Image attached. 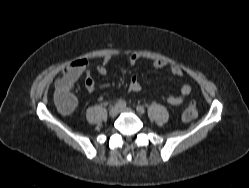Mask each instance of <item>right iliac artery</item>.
<instances>
[{"label": "right iliac artery", "mask_w": 249, "mask_h": 188, "mask_svg": "<svg viewBox=\"0 0 249 188\" xmlns=\"http://www.w3.org/2000/svg\"><path fill=\"white\" fill-rule=\"evenodd\" d=\"M117 107H126V102L124 100H118L116 102Z\"/></svg>", "instance_id": "right-iliac-artery-1"}]
</instances>
